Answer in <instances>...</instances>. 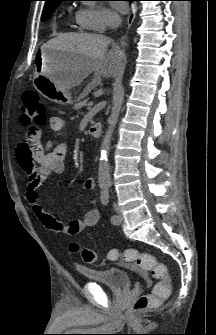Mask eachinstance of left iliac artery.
I'll list each match as a JSON object with an SVG mask.
<instances>
[{"label": "left iliac artery", "instance_id": "44dca946", "mask_svg": "<svg viewBox=\"0 0 216 335\" xmlns=\"http://www.w3.org/2000/svg\"><path fill=\"white\" fill-rule=\"evenodd\" d=\"M109 184L103 185L102 188V192H101V202L104 206H107L110 200V194H109ZM110 220L112 223H115L117 221V216L116 215H112L110 217Z\"/></svg>", "mask_w": 216, "mask_h": 335}]
</instances>
